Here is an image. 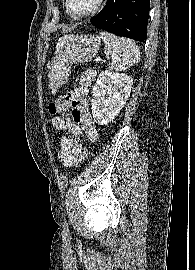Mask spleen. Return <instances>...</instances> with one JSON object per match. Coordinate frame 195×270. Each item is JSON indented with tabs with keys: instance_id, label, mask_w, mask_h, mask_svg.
<instances>
[{
	"instance_id": "3e777b00",
	"label": "spleen",
	"mask_w": 195,
	"mask_h": 270,
	"mask_svg": "<svg viewBox=\"0 0 195 270\" xmlns=\"http://www.w3.org/2000/svg\"><path fill=\"white\" fill-rule=\"evenodd\" d=\"M100 37L105 44L106 56L112 58L111 69L123 71L139 62L140 50L132 40L106 31H101Z\"/></svg>"
}]
</instances>
